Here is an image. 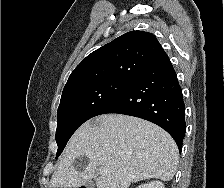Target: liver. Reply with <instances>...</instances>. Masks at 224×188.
Returning <instances> with one entry per match:
<instances>
[{
  "label": "liver",
  "mask_w": 224,
  "mask_h": 188,
  "mask_svg": "<svg viewBox=\"0 0 224 188\" xmlns=\"http://www.w3.org/2000/svg\"><path fill=\"white\" fill-rule=\"evenodd\" d=\"M87 157L83 170L74 161ZM178 147L159 126L143 119L100 115L80 126L69 140L53 173L51 188H78L88 183L99 169L97 188H128L131 183L157 178L170 181L177 170Z\"/></svg>",
  "instance_id": "obj_1"
}]
</instances>
